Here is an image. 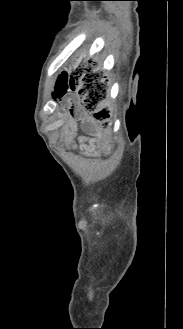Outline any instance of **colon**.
Instances as JSON below:
<instances>
[{"label":"colon","mask_w":183,"mask_h":329,"mask_svg":"<svg viewBox=\"0 0 183 329\" xmlns=\"http://www.w3.org/2000/svg\"><path fill=\"white\" fill-rule=\"evenodd\" d=\"M61 73H70L71 68L76 67L75 61H61ZM93 67H98V62H93ZM106 84L97 81L94 74L85 68L76 67L71 81H57L52 86V98L54 103L60 99L64 103V109H88L95 112V118L103 126H107L108 111L100 109L105 98ZM78 93V94H77ZM79 95V96H78Z\"/></svg>","instance_id":"5ec220e1"}]
</instances>
